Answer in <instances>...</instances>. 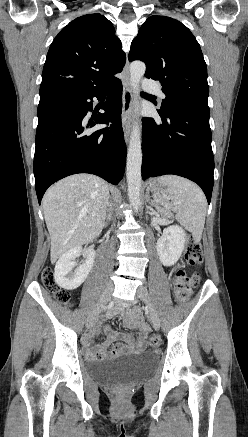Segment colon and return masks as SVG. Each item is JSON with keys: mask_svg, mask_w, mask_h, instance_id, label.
Listing matches in <instances>:
<instances>
[{"mask_svg": "<svg viewBox=\"0 0 248 437\" xmlns=\"http://www.w3.org/2000/svg\"><path fill=\"white\" fill-rule=\"evenodd\" d=\"M185 262L188 266L199 265L202 262V247L199 242L190 238L187 242L186 252H185ZM42 281L45 287L55 296L57 301L63 304L70 303L69 294L61 290L55 280L54 273L51 267H46L42 272ZM199 282V275L193 273L191 275H186L183 270H179L176 273V280L174 283V295L180 303L187 301L191 288L197 285ZM148 346L151 349H156L160 346V339L156 336H152L148 340ZM118 396H123L122 391H117Z\"/></svg>", "mask_w": 248, "mask_h": 437, "instance_id": "1", "label": "colon"}]
</instances>
